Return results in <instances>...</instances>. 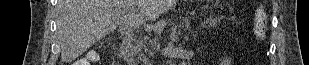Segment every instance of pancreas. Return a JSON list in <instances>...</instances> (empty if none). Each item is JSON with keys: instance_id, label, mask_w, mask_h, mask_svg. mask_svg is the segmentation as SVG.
I'll use <instances>...</instances> for the list:
<instances>
[{"instance_id": "cf45deb5", "label": "pancreas", "mask_w": 309, "mask_h": 65, "mask_svg": "<svg viewBox=\"0 0 309 65\" xmlns=\"http://www.w3.org/2000/svg\"><path fill=\"white\" fill-rule=\"evenodd\" d=\"M150 40L152 44H158V37H155L154 39H150L149 37H145L144 41L139 42V48L145 47V44H147V41Z\"/></svg>"}]
</instances>
